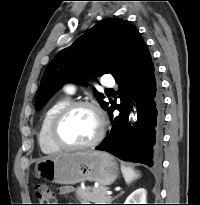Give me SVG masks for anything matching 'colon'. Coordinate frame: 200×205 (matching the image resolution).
Instances as JSON below:
<instances>
[{
	"mask_svg": "<svg viewBox=\"0 0 200 205\" xmlns=\"http://www.w3.org/2000/svg\"><path fill=\"white\" fill-rule=\"evenodd\" d=\"M35 195L38 199V205H56V196L54 191L46 184H38L35 188Z\"/></svg>",
	"mask_w": 200,
	"mask_h": 205,
	"instance_id": "5ec220e1",
	"label": "colon"
}]
</instances>
